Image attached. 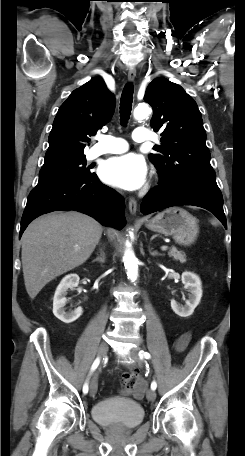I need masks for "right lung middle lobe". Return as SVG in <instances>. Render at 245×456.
Segmentation results:
<instances>
[{
  "instance_id": "dd1d6c3e",
  "label": "right lung middle lobe",
  "mask_w": 245,
  "mask_h": 456,
  "mask_svg": "<svg viewBox=\"0 0 245 456\" xmlns=\"http://www.w3.org/2000/svg\"><path fill=\"white\" fill-rule=\"evenodd\" d=\"M95 173L86 167V157L62 162L56 165L42 167L39 172V181L36 187H44L59 183L85 180Z\"/></svg>"
}]
</instances>
